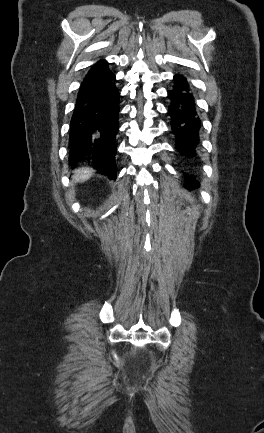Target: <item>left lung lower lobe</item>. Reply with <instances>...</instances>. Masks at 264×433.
Returning <instances> with one entry per match:
<instances>
[{"label": "left lung lower lobe", "mask_w": 264, "mask_h": 433, "mask_svg": "<svg viewBox=\"0 0 264 433\" xmlns=\"http://www.w3.org/2000/svg\"><path fill=\"white\" fill-rule=\"evenodd\" d=\"M174 85L168 91L171 100L169 114L172 117V131L176 136V149L186 158L195 156V148L199 142L201 121L196 111L194 97L186 78L176 74L173 78ZM188 185L197 183L196 180L186 174Z\"/></svg>", "instance_id": "obj_1"}]
</instances>
